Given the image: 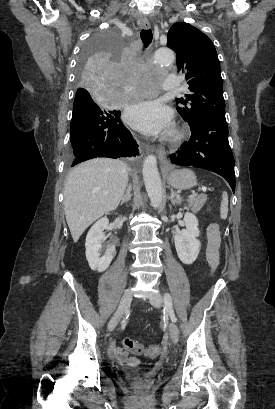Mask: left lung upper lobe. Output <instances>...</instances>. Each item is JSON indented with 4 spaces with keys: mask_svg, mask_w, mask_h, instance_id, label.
Masks as SVG:
<instances>
[{
    "mask_svg": "<svg viewBox=\"0 0 275 409\" xmlns=\"http://www.w3.org/2000/svg\"><path fill=\"white\" fill-rule=\"evenodd\" d=\"M167 46L176 52L178 71L186 75L191 94L176 99L177 111L189 124L207 117L225 119L220 63L212 41L199 29L174 23Z\"/></svg>",
    "mask_w": 275,
    "mask_h": 409,
    "instance_id": "5c2ea615",
    "label": "left lung upper lobe"
}]
</instances>
